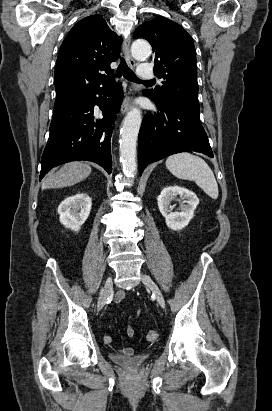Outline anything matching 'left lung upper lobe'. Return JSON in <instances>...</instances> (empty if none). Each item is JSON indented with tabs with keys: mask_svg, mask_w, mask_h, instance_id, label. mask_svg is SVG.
<instances>
[{
	"mask_svg": "<svg viewBox=\"0 0 272 411\" xmlns=\"http://www.w3.org/2000/svg\"><path fill=\"white\" fill-rule=\"evenodd\" d=\"M134 38L146 39L155 54L154 73L162 86L147 90L154 100L199 112L196 52L191 36L177 23L158 16L140 25Z\"/></svg>",
	"mask_w": 272,
	"mask_h": 411,
	"instance_id": "left-lung-upper-lobe-1",
	"label": "left lung upper lobe"
}]
</instances>
